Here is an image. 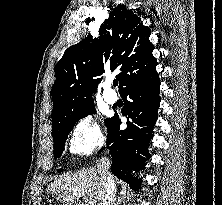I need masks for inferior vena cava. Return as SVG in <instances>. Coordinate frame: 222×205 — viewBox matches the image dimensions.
I'll return each instance as SVG.
<instances>
[{
  "label": "inferior vena cava",
  "instance_id": "inferior-vena-cava-1",
  "mask_svg": "<svg viewBox=\"0 0 222 205\" xmlns=\"http://www.w3.org/2000/svg\"><path fill=\"white\" fill-rule=\"evenodd\" d=\"M111 161L108 157L104 156L97 164V170L103 182V191L100 195L99 205H112L115 197V183L111 178L109 169Z\"/></svg>",
  "mask_w": 222,
  "mask_h": 205
}]
</instances>
